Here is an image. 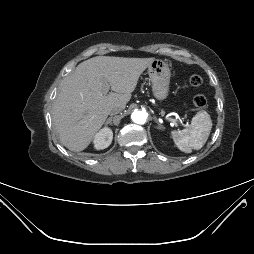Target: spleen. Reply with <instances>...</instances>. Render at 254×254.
I'll return each instance as SVG.
<instances>
[{"mask_svg":"<svg viewBox=\"0 0 254 254\" xmlns=\"http://www.w3.org/2000/svg\"><path fill=\"white\" fill-rule=\"evenodd\" d=\"M212 129L210 115L202 110L192 118L189 128L172 131L171 135L176 146L185 153H191L192 149H201L208 140Z\"/></svg>","mask_w":254,"mask_h":254,"instance_id":"3e777b00","label":"spleen"}]
</instances>
